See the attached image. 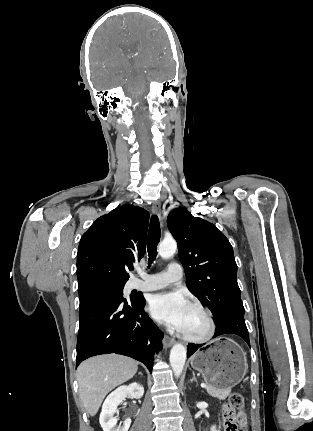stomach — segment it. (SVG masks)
I'll return each mask as SVG.
<instances>
[{
    "label": "stomach",
    "instance_id": "obj_1",
    "mask_svg": "<svg viewBox=\"0 0 313 431\" xmlns=\"http://www.w3.org/2000/svg\"><path fill=\"white\" fill-rule=\"evenodd\" d=\"M193 369L201 372L208 386L231 389L244 378L247 359L242 348L229 338H217L191 357Z\"/></svg>",
    "mask_w": 313,
    "mask_h": 431
}]
</instances>
